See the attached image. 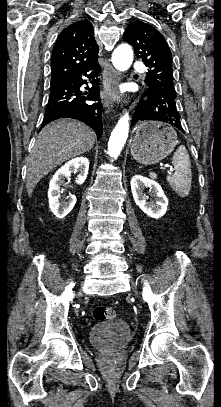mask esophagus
<instances>
[{
    "label": "esophagus",
    "mask_w": 221,
    "mask_h": 407,
    "mask_svg": "<svg viewBox=\"0 0 221 407\" xmlns=\"http://www.w3.org/2000/svg\"><path fill=\"white\" fill-rule=\"evenodd\" d=\"M104 89L101 92V100L105 108L112 109L116 104L120 103V96L118 93V84L121 79L119 72L115 71L111 66L104 69Z\"/></svg>",
    "instance_id": "34e87169"
}]
</instances>
